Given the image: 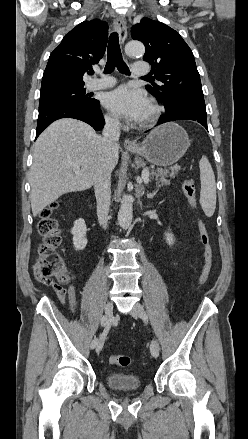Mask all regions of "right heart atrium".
<instances>
[{"label":"right heart atrium","mask_w":248,"mask_h":439,"mask_svg":"<svg viewBox=\"0 0 248 439\" xmlns=\"http://www.w3.org/2000/svg\"><path fill=\"white\" fill-rule=\"evenodd\" d=\"M105 120L107 125L112 128H118L120 126L119 120L114 115L111 114L106 115Z\"/></svg>","instance_id":"d8ad5b80"}]
</instances>
